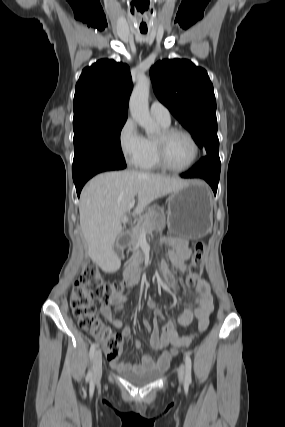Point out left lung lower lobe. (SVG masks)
<instances>
[{
  "label": "left lung lower lobe",
  "mask_w": 285,
  "mask_h": 427,
  "mask_svg": "<svg viewBox=\"0 0 285 427\" xmlns=\"http://www.w3.org/2000/svg\"><path fill=\"white\" fill-rule=\"evenodd\" d=\"M220 158L219 156L207 155L202 158L191 170L182 173L183 178H203L212 187L216 194L220 177Z\"/></svg>",
  "instance_id": "obj_1"
}]
</instances>
